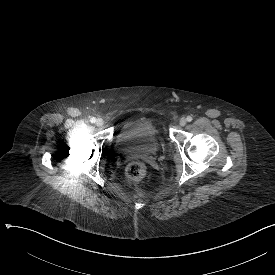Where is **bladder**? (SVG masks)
Instances as JSON below:
<instances>
[{
  "label": "bladder",
  "instance_id": "bladder-1",
  "mask_svg": "<svg viewBox=\"0 0 275 275\" xmlns=\"http://www.w3.org/2000/svg\"><path fill=\"white\" fill-rule=\"evenodd\" d=\"M116 137L120 151L144 158L154 157L160 152L162 144L155 122L148 116L126 121L118 129Z\"/></svg>",
  "mask_w": 275,
  "mask_h": 275
}]
</instances>
